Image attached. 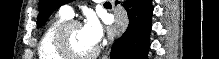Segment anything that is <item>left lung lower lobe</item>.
<instances>
[{
	"label": "left lung lower lobe",
	"mask_w": 219,
	"mask_h": 59,
	"mask_svg": "<svg viewBox=\"0 0 219 59\" xmlns=\"http://www.w3.org/2000/svg\"><path fill=\"white\" fill-rule=\"evenodd\" d=\"M123 7L127 11L129 25L113 44L110 59H147L152 27V1L126 0Z\"/></svg>",
	"instance_id": "0a47b994"
}]
</instances>
